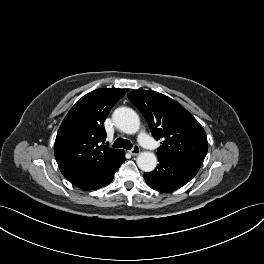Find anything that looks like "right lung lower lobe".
<instances>
[{
    "instance_id": "1",
    "label": "right lung lower lobe",
    "mask_w": 264,
    "mask_h": 264,
    "mask_svg": "<svg viewBox=\"0 0 264 264\" xmlns=\"http://www.w3.org/2000/svg\"><path fill=\"white\" fill-rule=\"evenodd\" d=\"M124 161L125 152L121 150L116 156L96 170L72 181L71 183L86 191L106 186L113 180L115 172Z\"/></svg>"
}]
</instances>
